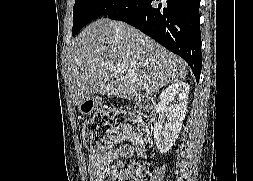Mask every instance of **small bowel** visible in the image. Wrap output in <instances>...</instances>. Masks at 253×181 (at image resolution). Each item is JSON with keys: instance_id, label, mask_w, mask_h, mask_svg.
<instances>
[{"instance_id": "c3829d8e", "label": "small bowel", "mask_w": 253, "mask_h": 181, "mask_svg": "<svg viewBox=\"0 0 253 181\" xmlns=\"http://www.w3.org/2000/svg\"><path fill=\"white\" fill-rule=\"evenodd\" d=\"M133 154L134 149L130 144L120 145L105 153H92L88 164L90 181H114L116 176L123 174V164L119 160L131 158ZM115 161L118 162L114 164Z\"/></svg>"}]
</instances>
